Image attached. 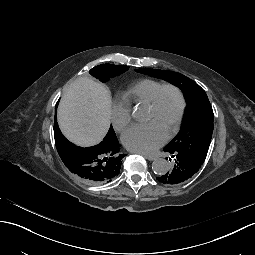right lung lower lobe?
<instances>
[{
	"label": "right lung lower lobe",
	"instance_id": "obj_1",
	"mask_svg": "<svg viewBox=\"0 0 255 255\" xmlns=\"http://www.w3.org/2000/svg\"><path fill=\"white\" fill-rule=\"evenodd\" d=\"M100 154L97 152L90 153L88 150L79 152L80 174L83 178L97 177L100 175Z\"/></svg>",
	"mask_w": 255,
	"mask_h": 255
}]
</instances>
